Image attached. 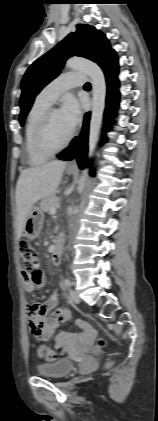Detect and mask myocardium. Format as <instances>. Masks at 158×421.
I'll list each match as a JSON object with an SVG mask.
<instances>
[{
    "mask_svg": "<svg viewBox=\"0 0 158 421\" xmlns=\"http://www.w3.org/2000/svg\"><path fill=\"white\" fill-rule=\"evenodd\" d=\"M57 111L56 108L49 107L42 115L35 131V146L37 150L46 155V156H52L59 152H61L63 149H65L74 136V131L72 130L66 140L60 144L59 146H52L50 145L48 141V127L50 118L53 112Z\"/></svg>",
    "mask_w": 158,
    "mask_h": 421,
    "instance_id": "obj_1",
    "label": "myocardium"
}]
</instances>
